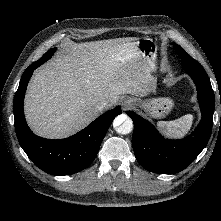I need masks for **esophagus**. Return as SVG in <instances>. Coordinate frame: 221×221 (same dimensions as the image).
Segmentation results:
<instances>
[{
  "label": "esophagus",
  "mask_w": 221,
  "mask_h": 221,
  "mask_svg": "<svg viewBox=\"0 0 221 221\" xmlns=\"http://www.w3.org/2000/svg\"><path fill=\"white\" fill-rule=\"evenodd\" d=\"M122 105H123L125 108H128V107L131 105V102H130V100H124V101L122 102Z\"/></svg>",
  "instance_id": "34e87169"
}]
</instances>
